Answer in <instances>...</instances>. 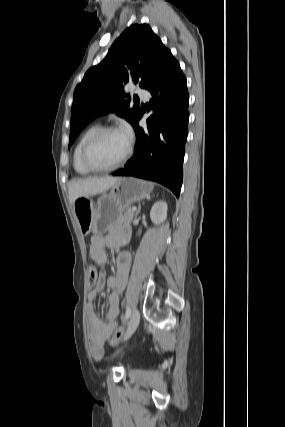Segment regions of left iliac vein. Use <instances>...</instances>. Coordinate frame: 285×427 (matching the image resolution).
Segmentation results:
<instances>
[{
  "mask_svg": "<svg viewBox=\"0 0 285 427\" xmlns=\"http://www.w3.org/2000/svg\"><path fill=\"white\" fill-rule=\"evenodd\" d=\"M139 321H140V313H139V310L135 308L132 312L130 321L128 323L125 339H128L135 332L139 324Z\"/></svg>",
  "mask_w": 285,
  "mask_h": 427,
  "instance_id": "4c4485c4",
  "label": "left iliac vein"
}]
</instances>
